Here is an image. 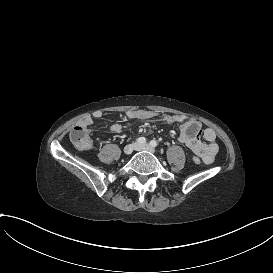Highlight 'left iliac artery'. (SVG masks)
<instances>
[{
  "label": "left iliac artery",
  "mask_w": 273,
  "mask_h": 273,
  "mask_svg": "<svg viewBox=\"0 0 273 273\" xmlns=\"http://www.w3.org/2000/svg\"><path fill=\"white\" fill-rule=\"evenodd\" d=\"M150 145H151L152 147H156V146L158 145V143H157L155 140H152V141L150 142Z\"/></svg>",
  "instance_id": "1"
}]
</instances>
